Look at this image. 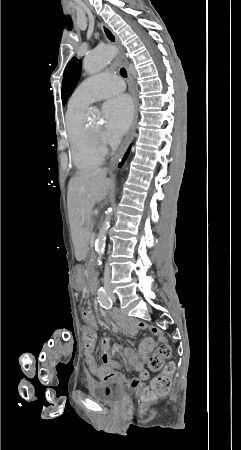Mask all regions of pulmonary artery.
<instances>
[{
  "instance_id": "obj_1",
  "label": "pulmonary artery",
  "mask_w": 241,
  "mask_h": 450,
  "mask_svg": "<svg viewBox=\"0 0 241 450\" xmlns=\"http://www.w3.org/2000/svg\"><path fill=\"white\" fill-rule=\"evenodd\" d=\"M124 80L117 74L100 73L83 81L73 95V100L87 104L117 96L123 90Z\"/></svg>"
}]
</instances>
